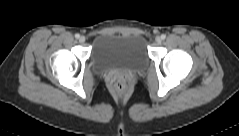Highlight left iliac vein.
I'll use <instances>...</instances> for the list:
<instances>
[{
	"label": "left iliac vein",
	"mask_w": 239,
	"mask_h": 136,
	"mask_svg": "<svg viewBox=\"0 0 239 136\" xmlns=\"http://www.w3.org/2000/svg\"><path fill=\"white\" fill-rule=\"evenodd\" d=\"M155 42H156V44H161V42H162V39H161V37H159V36H157L156 38H155Z\"/></svg>",
	"instance_id": "4c4485c4"
}]
</instances>
